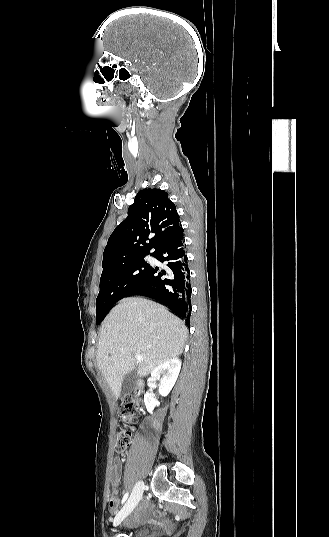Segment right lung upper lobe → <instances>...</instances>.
Returning <instances> with one entry per match:
<instances>
[{
  "instance_id": "right-lung-upper-lobe-1",
  "label": "right lung upper lobe",
  "mask_w": 329,
  "mask_h": 537,
  "mask_svg": "<svg viewBox=\"0 0 329 537\" xmlns=\"http://www.w3.org/2000/svg\"><path fill=\"white\" fill-rule=\"evenodd\" d=\"M182 230L176 207L165 191L156 188L141 190L129 207L127 218L109 237L102 267L117 266L148 254L153 255ZM150 250L154 252L150 253Z\"/></svg>"
}]
</instances>
